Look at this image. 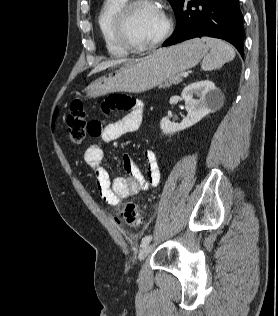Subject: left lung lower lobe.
Listing matches in <instances>:
<instances>
[{
	"mask_svg": "<svg viewBox=\"0 0 278 316\" xmlns=\"http://www.w3.org/2000/svg\"><path fill=\"white\" fill-rule=\"evenodd\" d=\"M170 46L195 37L209 36L230 42L243 55V18L238 0H183Z\"/></svg>",
	"mask_w": 278,
	"mask_h": 316,
	"instance_id": "1",
	"label": "left lung lower lobe"
}]
</instances>
